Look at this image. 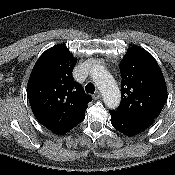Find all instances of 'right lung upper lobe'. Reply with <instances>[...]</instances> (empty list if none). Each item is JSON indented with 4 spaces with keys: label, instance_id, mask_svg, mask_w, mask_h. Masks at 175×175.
Segmentation results:
<instances>
[{
    "label": "right lung upper lobe",
    "instance_id": "right-lung-upper-lobe-1",
    "mask_svg": "<svg viewBox=\"0 0 175 175\" xmlns=\"http://www.w3.org/2000/svg\"><path fill=\"white\" fill-rule=\"evenodd\" d=\"M77 59L62 45L46 50L35 63L27 86L31 109L54 133L70 131L84 118L91 96L74 81Z\"/></svg>",
    "mask_w": 175,
    "mask_h": 175
}]
</instances>
